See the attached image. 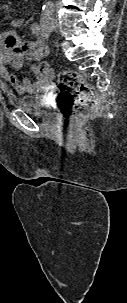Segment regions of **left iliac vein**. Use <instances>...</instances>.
Instances as JSON below:
<instances>
[{
	"mask_svg": "<svg viewBox=\"0 0 127 303\" xmlns=\"http://www.w3.org/2000/svg\"><path fill=\"white\" fill-rule=\"evenodd\" d=\"M56 27H57V20L52 19V21H51V30H54Z\"/></svg>",
	"mask_w": 127,
	"mask_h": 303,
	"instance_id": "4c4485c4",
	"label": "left iliac vein"
}]
</instances>
